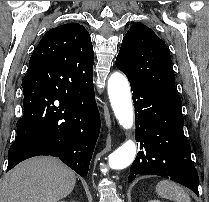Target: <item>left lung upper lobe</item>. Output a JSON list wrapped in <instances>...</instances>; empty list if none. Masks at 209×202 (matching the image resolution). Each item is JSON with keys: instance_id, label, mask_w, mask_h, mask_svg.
<instances>
[{"instance_id": "5c2ea615", "label": "left lung upper lobe", "mask_w": 209, "mask_h": 202, "mask_svg": "<svg viewBox=\"0 0 209 202\" xmlns=\"http://www.w3.org/2000/svg\"><path fill=\"white\" fill-rule=\"evenodd\" d=\"M116 66L129 81L177 95L170 53L165 43L144 24L135 23L128 30Z\"/></svg>"}]
</instances>
